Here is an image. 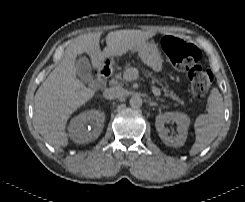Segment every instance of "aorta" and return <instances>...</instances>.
Here are the masks:
<instances>
[{
  "mask_svg": "<svg viewBox=\"0 0 245 202\" xmlns=\"http://www.w3.org/2000/svg\"><path fill=\"white\" fill-rule=\"evenodd\" d=\"M142 98L138 95H134L130 98L129 104L132 108H140L142 106Z\"/></svg>",
  "mask_w": 245,
  "mask_h": 202,
  "instance_id": "1",
  "label": "aorta"
}]
</instances>
